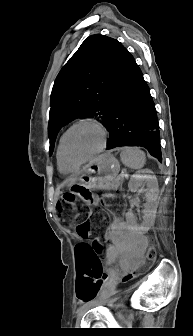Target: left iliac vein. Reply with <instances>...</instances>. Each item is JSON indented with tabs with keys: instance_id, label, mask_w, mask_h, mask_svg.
<instances>
[{
	"instance_id": "1",
	"label": "left iliac vein",
	"mask_w": 193,
	"mask_h": 336,
	"mask_svg": "<svg viewBox=\"0 0 193 336\" xmlns=\"http://www.w3.org/2000/svg\"><path fill=\"white\" fill-rule=\"evenodd\" d=\"M88 308L86 307L84 310H82L81 312L78 313V316H77V323L80 322L82 316L84 315L85 311L87 310Z\"/></svg>"
}]
</instances>
